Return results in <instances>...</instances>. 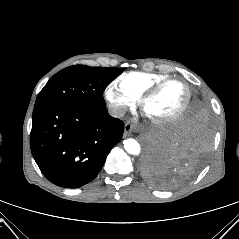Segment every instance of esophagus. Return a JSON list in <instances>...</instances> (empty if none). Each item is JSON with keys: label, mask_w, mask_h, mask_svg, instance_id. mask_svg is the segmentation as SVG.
Instances as JSON below:
<instances>
[{"label": "esophagus", "mask_w": 239, "mask_h": 239, "mask_svg": "<svg viewBox=\"0 0 239 239\" xmlns=\"http://www.w3.org/2000/svg\"><path fill=\"white\" fill-rule=\"evenodd\" d=\"M134 129V126L132 124H130L129 122H127L124 126V133L125 135H129Z\"/></svg>", "instance_id": "obj_1"}]
</instances>
